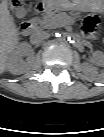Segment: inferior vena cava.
Instances as JSON below:
<instances>
[{
    "label": "inferior vena cava",
    "mask_w": 104,
    "mask_h": 137,
    "mask_svg": "<svg viewBox=\"0 0 104 137\" xmlns=\"http://www.w3.org/2000/svg\"><path fill=\"white\" fill-rule=\"evenodd\" d=\"M48 33L41 31V30H35L30 39L32 43H41L43 40L48 38Z\"/></svg>",
    "instance_id": "inferior-vena-cava-1"
}]
</instances>
